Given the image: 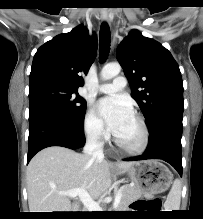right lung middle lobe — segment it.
Returning a JSON list of instances; mask_svg holds the SVG:
<instances>
[{"label":"right lung middle lobe","instance_id":"right-lung-middle-lobe-1","mask_svg":"<svg viewBox=\"0 0 203 219\" xmlns=\"http://www.w3.org/2000/svg\"><path fill=\"white\" fill-rule=\"evenodd\" d=\"M86 107V101L77 89L49 81L29 85V110L43 109L67 120L80 121L85 116Z\"/></svg>","mask_w":203,"mask_h":219}]
</instances>
